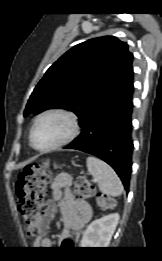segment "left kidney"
<instances>
[{
    "label": "left kidney",
    "mask_w": 162,
    "mask_h": 261,
    "mask_svg": "<svg viewBox=\"0 0 162 261\" xmlns=\"http://www.w3.org/2000/svg\"><path fill=\"white\" fill-rule=\"evenodd\" d=\"M119 218L120 216L118 213H112L91 222L84 231L83 238L81 240V247H108L118 224Z\"/></svg>",
    "instance_id": "1"
}]
</instances>
